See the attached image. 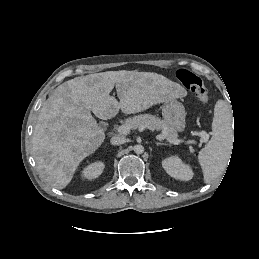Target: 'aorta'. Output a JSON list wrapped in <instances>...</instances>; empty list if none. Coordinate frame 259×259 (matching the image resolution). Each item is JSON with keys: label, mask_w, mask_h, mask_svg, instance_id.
<instances>
[{"label": "aorta", "mask_w": 259, "mask_h": 259, "mask_svg": "<svg viewBox=\"0 0 259 259\" xmlns=\"http://www.w3.org/2000/svg\"><path fill=\"white\" fill-rule=\"evenodd\" d=\"M133 150H134V152H135L136 154H143V153H144V147H143L142 145H140V144L135 145V146L133 147Z\"/></svg>", "instance_id": "aorta-1"}]
</instances>
